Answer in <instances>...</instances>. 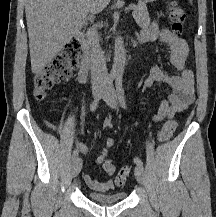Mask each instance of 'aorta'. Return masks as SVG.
Listing matches in <instances>:
<instances>
[{
  "mask_svg": "<svg viewBox=\"0 0 216 217\" xmlns=\"http://www.w3.org/2000/svg\"><path fill=\"white\" fill-rule=\"evenodd\" d=\"M126 62V50L124 47L123 39L118 36L115 39L114 45V63L111 70V75L116 77H122L124 73Z\"/></svg>",
  "mask_w": 216,
  "mask_h": 217,
  "instance_id": "1",
  "label": "aorta"
}]
</instances>
